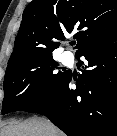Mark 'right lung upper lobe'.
I'll return each instance as SVG.
<instances>
[{"instance_id":"right-lung-upper-lobe-1","label":"right lung upper lobe","mask_w":117,"mask_h":136,"mask_svg":"<svg viewBox=\"0 0 117 136\" xmlns=\"http://www.w3.org/2000/svg\"><path fill=\"white\" fill-rule=\"evenodd\" d=\"M117 30V0H33L25 8L8 64L52 56L65 34L76 31L78 54Z\"/></svg>"}]
</instances>
